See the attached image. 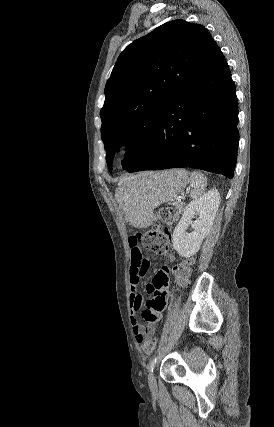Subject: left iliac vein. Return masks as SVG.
Masks as SVG:
<instances>
[{"instance_id": "1", "label": "left iliac vein", "mask_w": 274, "mask_h": 427, "mask_svg": "<svg viewBox=\"0 0 274 427\" xmlns=\"http://www.w3.org/2000/svg\"><path fill=\"white\" fill-rule=\"evenodd\" d=\"M148 384L152 391L156 389V378L154 372H150L148 377Z\"/></svg>"}]
</instances>
